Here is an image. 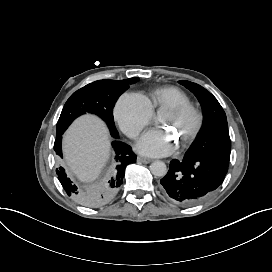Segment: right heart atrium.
<instances>
[{"label":"right heart atrium","mask_w":272,"mask_h":272,"mask_svg":"<svg viewBox=\"0 0 272 272\" xmlns=\"http://www.w3.org/2000/svg\"><path fill=\"white\" fill-rule=\"evenodd\" d=\"M115 113L122 130L132 139H137L153 118V108L149 100L133 92L120 97Z\"/></svg>","instance_id":"1"}]
</instances>
